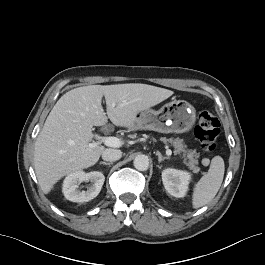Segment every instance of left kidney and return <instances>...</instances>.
<instances>
[{"instance_id": "5707ae66", "label": "left kidney", "mask_w": 265, "mask_h": 265, "mask_svg": "<svg viewBox=\"0 0 265 265\" xmlns=\"http://www.w3.org/2000/svg\"><path fill=\"white\" fill-rule=\"evenodd\" d=\"M190 179L191 175L186 171L172 168L162 171V181L166 191L176 198L185 196Z\"/></svg>"}]
</instances>
